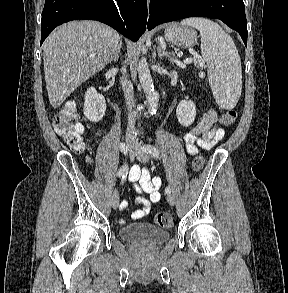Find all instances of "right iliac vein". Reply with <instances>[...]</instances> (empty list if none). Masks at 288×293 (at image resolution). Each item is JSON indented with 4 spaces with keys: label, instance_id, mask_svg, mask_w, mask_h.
<instances>
[{
    "label": "right iliac vein",
    "instance_id": "right-iliac-vein-1",
    "mask_svg": "<svg viewBox=\"0 0 288 293\" xmlns=\"http://www.w3.org/2000/svg\"><path fill=\"white\" fill-rule=\"evenodd\" d=\"M125 147L128 148L127 153L130 154L131 156H133V152H134V142L130 139L126 140L125 143ZM111 205L114 209H117L118 205H119V194L117 191H114L111 197Z\"/></svg>",
    "mask_w": 288,
    "mask_h": 293
}]
</instances>
